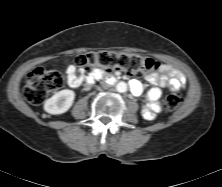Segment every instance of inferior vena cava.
I'll list each match as a JSON object with an SVG mask.
<instances>
[{"label":"inferior vena cava","mask_w":222,"mask_h":187,"mask_svg":"<svg viewBox=\"0 0 222 187\" xmlns=\"http://www.w3.org/2000/svg\"><path fill=\"white\" fill-rule=\"evenodd\" d=\"M109 85L105 81L100 82V89H107Z\"/></svg>","instance_id":"inferior-vena-cava-1"}]
</instances>
